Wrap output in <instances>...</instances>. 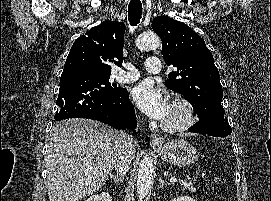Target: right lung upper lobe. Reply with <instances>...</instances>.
<instances>
[{"label":"right lung upper lobe","instance_id":"obj_1","mask_svg":"<svg viewBox=\"0 0 271 201\" xmlns=\"http://www.w3.org/2000/svg\"><path fill=\"white\" fill-rule=\"evenodd\" d=\"M125 25L105 21L76 39L67 56L64 70L83 69L111 74L112 66H121Z\"/></svg>","mask_w":271,"mask_h":201}]
</instances>
